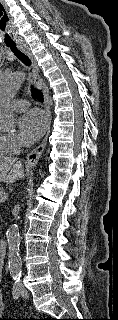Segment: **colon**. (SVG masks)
I'll use <instances>...</instances> for the list:
<instances>
[{
  "label": "colon",
  "instance_id": "obj_1",
  "mask_svg": "<svg viewBox=\"0 0 118 320\" xmlns=\"http://www.w3.org/2000/svg\"><path fill=\"white\" fill-rule=\"evenodd\" d=\"M0 320H5V319H0ZM29 320H38V319H29Z\"/></svg>",
  "mask_w": 118,
  "mask_h": 320
}]
</instances>
